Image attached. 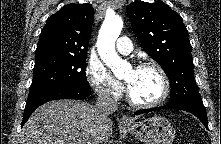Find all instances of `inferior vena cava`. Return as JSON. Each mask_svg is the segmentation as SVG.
<instances>
[{
	"instance_id": "obj_1",
	"label": "inferior vena cava",
	"mask_w": 221,
	"mask_h": 144,
	"mask_svg": "<svg viewBox=\"0 0 221 144\" xmlns=\"http://www.w3.org/2000/svg\"><path fill=\"white\" fill-rule=\"evenodd\" d=\"M96 109L100 120H105L108 115L118 109L117 103L109 93H99L96 101Z\"/></svg>"
}]
</instances>
